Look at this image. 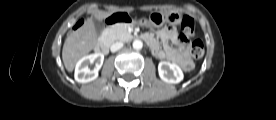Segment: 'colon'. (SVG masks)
<instances>
[{
    "label": "colon",
    "instance_id": "5ec220e1",
    "mask_svg": "<svg viewBox=\"0 0 276 120\" xmlns=\"http://www.w3.org/2000/svg\"><path fill=\"white\" fill-rule=\"evenodd\" d=\"M117 14L132 16L130 14H125L121 11H114L112 13L106 14L104 18H101L98 21V26L101 29H107V28H104L102 26V21L104 19L112 18L113 16H116ZM91 20L92 19L89 16H87V17L80 16L78 18V20H76L75 22H70L68 24V29L71 31V33L74 34V33H76L77 30L81 29L83 26L89 25ZM116 26L117 27H123V26H120V25H116ZM125 27H127V26H125ZM180 27H181V30H182V33H183L184 37L193 36L195 34V23H194V20L191 17H188V16L183 17L182 20H181V23H180ZM190 53L195 59L202 58L204 56V53H205L203 42L201 40H198V39L194 40L191 44V47H190Z\"/></svg>",
    "mask_w": 276,
    "mask_h": 120
}]
</instances>
